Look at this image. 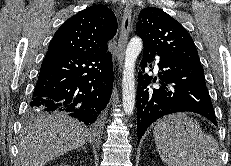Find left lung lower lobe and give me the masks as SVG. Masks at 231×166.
<instances>
[{
	"mask_svg": "<svg viewBox=\"0 0 231 166\" xmlns=\"http://www.w3.org/2000/svg\"><path fill=\"white\" fill-rule=\"evenodd\" d=\"M155 55L158 54L144 47L140 67L144 68ZM158 56L160 57L158 66L161 71L157 78L160 85L150 86L152 77L147 74L138 78V142L153 122L175 112L198 113L217 125L202 65L178 62ZM155 81L156 78L153 79V82Z\"/></svg>",
	"mask_w": 231,
	"mask_h": 166,
	"instance_id": "1",
	"label": "left lung lower lobe"
}]
</instances>
